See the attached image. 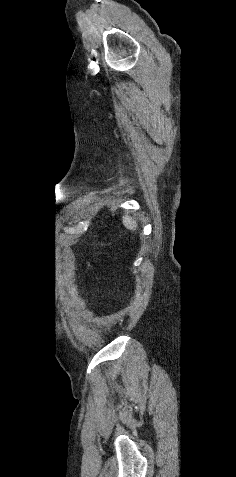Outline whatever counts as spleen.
<instances>
[{
  "label": "spleen",
  "instance_id": "1",
  "mask_svg": "<svg viewBox=\"0 0 236 477\" xmlns=\"http://www.w3.org/2000/svg\"><path fill=\"white\" fill-rule=\"evenodd\" d=\"M122 222H123V225L129 230L135 231L137 229L136 220H134L133 218L127 215L123 216Z\"/></svg>",
  "mask_w": 236,
  "mask_h": 477
}]
</instances>
